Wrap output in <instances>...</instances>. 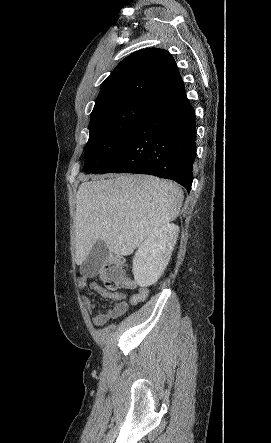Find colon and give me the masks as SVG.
<instances>
[{
    "mask_svg": "<svg viewBox=\"0 0 271 443\" xmlns=\"http://www.w3.org/2000/svg\"><path fill=\"white\" fill-rule=\"evenodd\" d=\"M99 275L104 285L111 290L119 287L129 288L132 284L126 275L124 261L119 256H107Z\"/></svg>",
    "mask_w": 271,
    "mask_h": 443,
    "instance_id": "1",
    "label": "colon"
}]
</instances>
